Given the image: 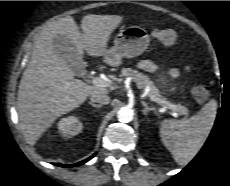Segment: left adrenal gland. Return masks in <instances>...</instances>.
<instances>
[{
	"label": "left adrenal gland",
	"mask_w": 230,
	"mask_h": 186,
	"mask_svg": "<svg viewBox=\"0 0 230 186\" xmlns=\"http://www.w3.org/2000/svg\"><path fill=\"white\" fill-rule=\"evenodd\" d=\"M141 103H142V105L144 106L143 113H144L145 116H147L148 113H149L150 111H153V110H154V108H153V107H150L146 102L141 101Z\"/></svg>",
	"instance_id": "left-adrenal-gland-1"
}]
</instances>
